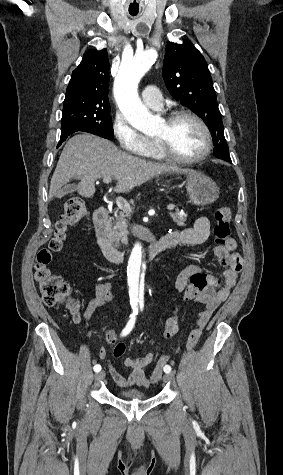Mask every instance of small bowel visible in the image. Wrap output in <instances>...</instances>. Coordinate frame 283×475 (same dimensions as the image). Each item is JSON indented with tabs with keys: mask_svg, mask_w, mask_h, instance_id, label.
Returning <instances> with one entry per match:
<instances>
[{
	"mask_svg": "<svg viewBox=\"0 0 283 475\" xmlns=\"http://www.w3.org/2000/svg\"><path fill=\"white\" fill-rule=\"evenodd\" d=\"M210 237V222L207 217H199L192 227L185 228L180 231L170 233L168 235L169 243L167 247L176 245L197 246L205 243ZM236 241H229L214 248V255L217 260L225 267L222 280L213 274H206L210 281L209 288L206 289L205 296H197V302L204 307L198 312L195 325L191 329L188 337V349L191 350L197 344L202 330L210 320L216 309L223 303L234 289L240 272L242 271L243 262L241 256L235 252ZM194 267L191 265L186 267L177 277L175 288L182 293L183 280L187 279L188 274H193ZM112 298V287L109 283L99 284L96 287L95 298L88 305L84 318L89 321L94 311L102 304L110 301ZM109 343L114 344V335L108 332ZM125 352V346L121 343L116 344L113 348V356L120 358ZM107 352L104 348L99 351V357L105 359ZM156 360L154 370L147 374L145 368ZM122 363L130 369L128 374H122L111 363L108 364V371L112 380L119 387H129L139 385L147 387L157 383L162 377L163 370L167 362H158L156 353H147L141 357L123 358Z\"/></svg>",
	"mask_w": 283,
	"mask_h": 475,
	"instance_id": "small-bowel-1",
	"label": "small bowel"
}]
</instances>
